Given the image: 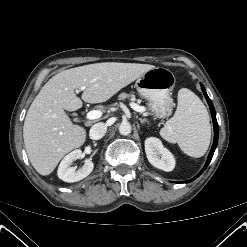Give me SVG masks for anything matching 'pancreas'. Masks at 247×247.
Instances as JSON below:
<instances>
[{
    "label": "pancreas",
    "instance_id": "cf45deb5",
    "mask_svg": "<svg viewBox=\"0 0 247 247\" xmlns=\"http://www.w3.org/2000/svg\"><path fill=\"white\" fill-rule=\"evenodd\" d=\"M130 97H133V96L131 94H127V93H121L118 98H119V100H124V99L130 98Z\"/></svg>",
    "mask_w": 247,
    "mask_h": 247
}]
</instances>
